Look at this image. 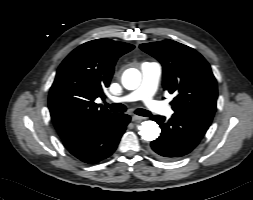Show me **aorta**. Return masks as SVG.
Masks as SVG:
<instances>
[{"label": "aorta", "instance_id": "762f6f07", "mask_svg": "<svg viewBox=\"0 0 253 200\" xmlns=\"http://www.w3.org/2000/svg\"><path fill=\"white\" fill-rule=\"evenodd\" d=\"M141 81V74L137 69H128L122 77V84L128 90L136 89ZM159 125L151 120L143 121L139 126V134L146 141H153L160 135Z\"/></svg>", "mask_w": 253, "mask_h": 200}]
</instances>
